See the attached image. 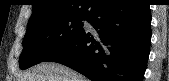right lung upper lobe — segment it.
Returning <instances> with one entry per match:
<instances>
[{
	"mask_svg": "<svg viewBox=\"0 0 169 81\" xmlns=\"http://www.w3.org/2000/svg\"><path fill=\"white\" fill-rule=\"evenodd\" d=\"M33 12L28 21L58 16H87L102 0H33Z\"/></svg>",
	"mask_w": 169,
	"mask_h": 81,
	"instance_id": "cb5924a9",
	"label": "right lung upper lobe"
}]
</instances>
